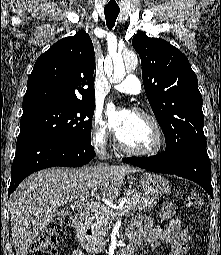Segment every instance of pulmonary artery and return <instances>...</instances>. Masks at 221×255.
Listing matches in <instances>:
<instances>
[{"instance_id":"obj_1","label":"pulmonary artery","mask_w":221,"mask_h":255,"mask_svg":"<svg viewBox=\"0 0 221 255\" xmlns=\"http://www.w3.org/2000/svg\"><path fill=\"white\" fill-rule=\"evenodd\" d=\"M113 89L121 93L138 95L141 92V83L135 75H128L120 83L113 85Z\"/></svg>"}]
</instances>
